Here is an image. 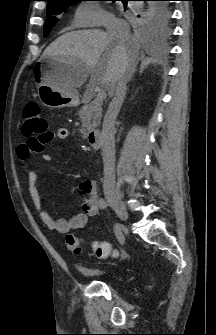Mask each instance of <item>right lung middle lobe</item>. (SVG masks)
Masks as SVG:
<instances>
[{
    "label": "right lung middle lobe",
    "mask_w": 216,
    "mask_h": 335,
    "mask_svg": "<svg viewBox=\"0 0 216 335\" xmlns=\"http://www.w3.org/2000/svg\"><path fill=\"white\" fill-rule=\"evenodd\" d=\"M81 1H63L52 3L47 6V20L44 25V36L46 37L50 32L51 28L55 25L58 18L57 15L61 14L70 5ZM115 1V0H112ZM134 16L136 17L139 25L147 32L152 33H168V22H169V10L168 4L166 2H155L151 5L149 11H145L142 8L136 9L134 11Z\"/></svg>",
    "instance_id": "1"
}]
</instances>
